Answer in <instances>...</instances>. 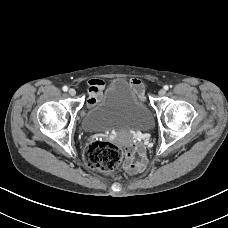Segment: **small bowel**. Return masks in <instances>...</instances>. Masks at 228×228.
<instances>
[{"label":"small bowel","mask_w":228,"mask_h":228,"mask_svg":"<svg viewBox=\"0 0 228 228\" xmlns=\"http://www.w3.org/2000/svg\"><path fill=\"white\" fill-rule=\"evenodd\" d=\"M131 84L135 87L139 95H143V85L138 79H131ZM89 85V96L87 99V105H91L96 102V98L105 88L106 83L101 79H91L88 82ZM138 152V160H136L135 155ZM147 154L144 149H137L134 145H130L126 150V159L124 163L125 170L130 174H138L143 172L147 166Z\"/></svg>","instance_id":"obj_1"}]
</instances>
